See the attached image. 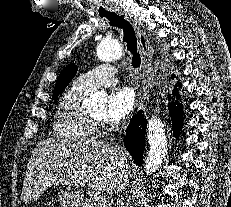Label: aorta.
<instances>
[{
	"label": "aorta",
	"instance_id": "762f6f07",
	"mask_svg": "<svg viewBox=\"0 0 231 207\" xmlns=\"http://www.w3.org/2000/svg\"><path fill=\"white\" fill-rule=\"evenodd\" d=\"M96 54L101 61H114L122 57L123 47L117 40L106 38L98 44ZM104 102H106V96L103 93H95L86 101L88 106ZM147 137L150 150L145 160L144 170L148 176L161 168L167 153L163 124L158 118L149 120Z\"/></svg>",
	"mask_w": 231,
	"mask_h": 207
}]
</instances>
